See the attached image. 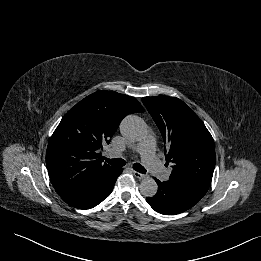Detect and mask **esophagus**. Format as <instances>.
<instances>
[{
	"mask_svg": "<svg viewBox=\"0 0 261 261\" xmlns=\"http://www.w3.org/2000/svg\"><path fill=\"white\" fill-rule=\"evenodd\" d=\"M133 175L138 178V179H143L146 177V175L142 174V173H139L137 171H133Z\"/></svg>",
	"mask_w": 261,
	"mask_h": 261,
	"instance_id": "esophagus-1",
	"label": "esophagus"
}]
</instances>
